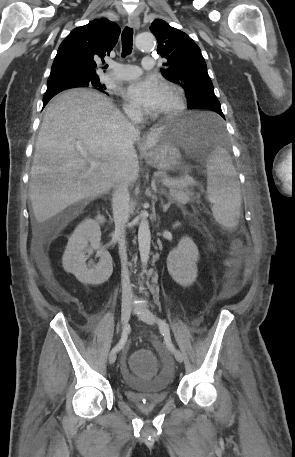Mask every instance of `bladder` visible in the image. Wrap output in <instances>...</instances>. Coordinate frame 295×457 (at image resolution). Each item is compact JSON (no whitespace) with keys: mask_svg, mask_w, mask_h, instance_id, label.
<instances>
[{"mask_svg":"<svg viewBox=\"0 0 295 457\" xmlns=\"http://www.w3.org/2000/svg\"><path fill=\"white\" fill-rule=\"evenodd\" d=\"M154 351L159 354V359L162 361V370L155 378H136L135 375H131L130 360L128 364H121L119 368V377L128 384L124 395L135 406L136 411H153L154 407L164 404L170 397L167 387L171 375L175 372L171 362L172 355L166 352L165 345H156Z\"/></svg>","mask_w":295,"mask_h":457,"instance_id":"31cf9c89","label":"bladder"}]
</instances>
